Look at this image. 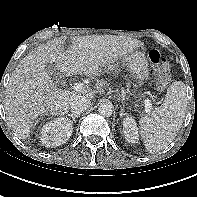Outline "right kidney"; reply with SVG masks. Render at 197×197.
<instances>
[{
  "instance_id": "right-kidney-1",
  "label": "right kidney",
  "mask_w": 197,
  "mask_h": 197,
  "mask_svg": "<svg viewBox=\"0 0 197 197\" xmlns=\"http://www.w3.org/2000/svg\"><path fill=\"white\" fill-rule=\"evenodd\" d=\"M73 131V122L59 117L47 122L41 131V142L46 147H57L66 143Z\"/></svg>"
}]
</instances>
